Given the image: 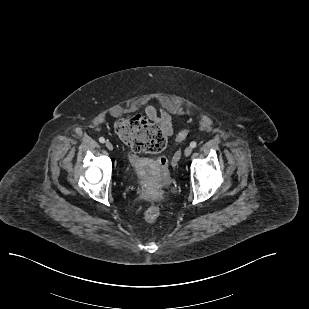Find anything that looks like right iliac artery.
<instances>
[{
    "label": "right iliac artery",
    "instance_id": "obj_1",
    "mask_svg": "<svg viewBox=\"0 0 309 309\" xmlns=\"http://www.w3.org/2000/svg\"><path fill=\"white\" fill-rule=\"evenodd\" d=\"M99 142H100V143H105V139H104L103 137H100V138H99Z\"/></svg>",
    "mask_w": 309,
    "mask_h": 309
}]
</instances>
